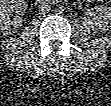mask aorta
<instances>
[{
  "instance_id": "1",
  "label": "aorta",
  "mask_w": 111,
  "mask_h": 106,
  "mask_svg": "<svg viewBox=\"0 0 111 106\" xmlns=\"http://www.w3.org/2000/svg\"><path fill=\"white\" fill-rule=\"evenodd\" d=\"M64 11L63 7L61 5L57 6L56 12L62 13Z\"/></svg>"
}]
</instances>
